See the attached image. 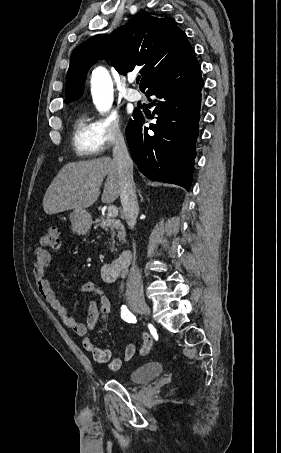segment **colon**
<instances>
[{
	"instance_id": "obj_1",
	"label": "colon",
	"mask_w": 281,
	"mask_h": 453,
	"mask_svg": "<svg viewBox=\"0 0 281 453\" xmlns=\"http://www.w3.org/2000/svg\"><path fill=\"white\" fill-rule=\"evenodd\" d=\"M60 226H48L45 233L40 237L39 245L45 248L46 251L57 247V239L60 233ZM175 360H182L181 355H175Z\"/></svg>"
}]
</instances>
